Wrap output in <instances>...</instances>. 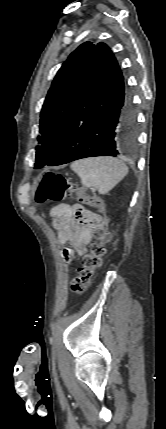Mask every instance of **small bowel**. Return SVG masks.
<instances>
[{
    "label": "small bowel",
    "mask_w": 166,
    "mask_h": 429,
    "mask_svg": "<svg viewBox=\"0 0 166 429\" xmlns=\"http://www.w3.org/2000/svg\"><path fill=\"white\" fill-rule=\"evenodd\" d=\"M50 215L58 242L61 245H68L62 250V256L67 262L84 256L94 231L104 227L100 215L78 204L56 205L50 210Z\"/></svg>",
    "instance_id": "small-bowel-1"
}]
</instances>
